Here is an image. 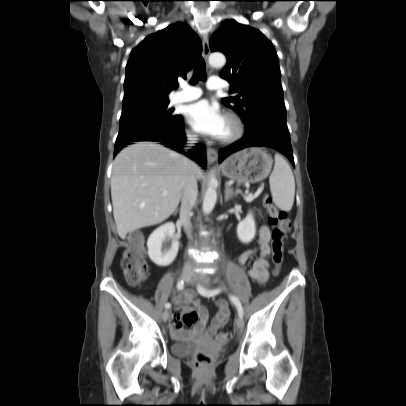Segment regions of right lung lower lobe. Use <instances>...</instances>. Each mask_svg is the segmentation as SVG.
Here are the masks:
<instances>
[{
    "label": "right lung lower lobe",
    "instance_id": "1",
    "mask_svg": "<svg viewBox=\"0 0 406 406\" xmlns=\"http://www.w3.org/2000/svg\"><path fill=\"white\" fill-rule=\"evenodd\" d=\"M139 141H153L160 142V144L165 145L179 153L185 154L190 159L201 164V166H206V148L204 145L198 143L191 151L184 152L183 147L186 144V135L183 127L182 117L170 128L141 135H133L124 138L117 139L115 142L114 154H117L122 148L131 144L132 142Z\"/></svg>",
    "mask_w": 406,
    "mask_h": 406
}]
</instances>
